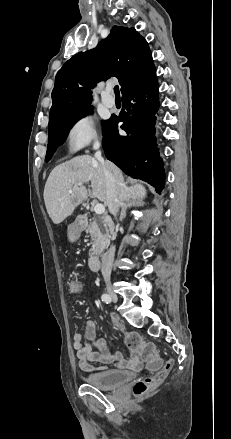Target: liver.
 <instances>
[{"mask_svg": "<svg viewBox=\"0 0 231 439\" xmlns=\"http://www.w3.org/2000/svg\"><path fill=\"white\" fill-rule=\"evenodd\" d=\"M111 171L117 182L118 198L123 201L143 199L146 189L141 184L128 187L122 172L114 164ZM91 182V197L109 207L106 180L101 163L90 155H81L57 165L44 188V202L54 224H60L87 198L84 184ZM72 190V193L68 191Z\"/></svg>", "mask_w": 231, "mask_h": 439, "instance_id": "liver-1", "label": "liver"}]
</instances>
